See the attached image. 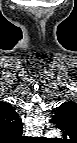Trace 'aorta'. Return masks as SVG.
<instances>
[{
    "label": "aorta",
    "mask_w": 77,
    "mask_h": 143,
    "mask_svg": "<svg viewBox=\"0 0 77 143\" xmlns=\"http://www.w3.org/2000/svg\"><path fill=\"white\" fill-rule=\"evenodd\" d=\"M56 133L57 132L55 130L49 132L50 135H53V134H56Z\"/></svg>",
    "instance_id": "aorta-1"
}]
</instances>
